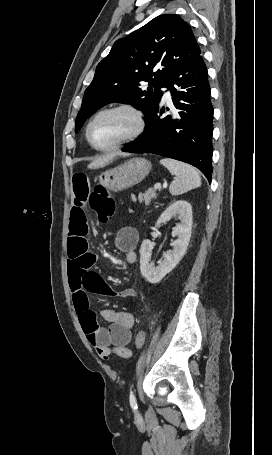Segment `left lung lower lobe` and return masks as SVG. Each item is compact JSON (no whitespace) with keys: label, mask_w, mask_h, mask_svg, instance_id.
<instances>
[{"label":"left lung lower lobe","mask_w":272,"mask_h":455,"mask_svg":"<svg viewBox=\"0 0 272 455\" xmlns=\"http://www.w3.org/2000/svg\"><path fill=\"white\" fill-rule=\"evenodd\" d=\"M165 87L171 92L175 114L163 116L165 108L158 104L146 119L144 133L122 151L154 153L189 163L211 182L213 107L202 56L176 71Z\"/></svg>","instance_id":"obj_1"}]
</instances>
